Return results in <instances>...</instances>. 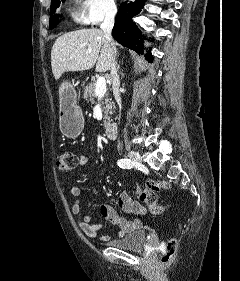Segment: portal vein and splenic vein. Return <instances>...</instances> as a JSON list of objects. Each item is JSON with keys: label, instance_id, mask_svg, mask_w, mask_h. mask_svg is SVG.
<instances>
[{"label": "portal vein and splenic vein", "instance_id": "1", "mask_svg": "<svg viewBox=\"0 0 240 281\" xmlns=\"http://www.w3.org/2000/svg\"><path fill=\"white\" fill-rule=\"evenodd\" d=\"M106 80L104 77H99L96 81L95 94L98 97H103L106 93Z\"/></svg>", "mask_w": 240, "mask_h": 281}]
</instances>
